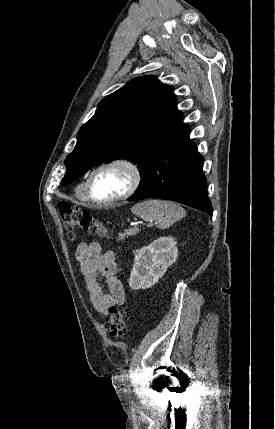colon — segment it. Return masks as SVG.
Instances as JSON below:
<instances>
[{"label": "colon", "mask_w": 275, "mask_h": 429, "mask_svg": "<svg viewBox=\"0 0 275 429\" xmlns=\"http://www.w3.org/2000/svg\"><path fill=\"white\" fill-rule=\"evenodd\" d=\"M59 215L64 229L68 236L73 239L76 236V230L106 236L107 228L96 220L93 215L82 208L72 206L66 202L58 204ZM110 336L112 338H123L127 334L125 315L117 306L109 308Z\"/></svg>", "instance_id": "1"}]
</instances>
